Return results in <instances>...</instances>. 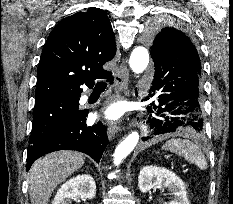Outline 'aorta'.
Masks as SVG:
<instances>
[{
    "instance_id": "1",
    "label": "aorta",
    "mask_w": 233,
    "mask_h": 204,
    "mask_svg": "<svg viewBox=\"0 0 233 204\" xmlns=\"http://www.w3.org/2000/svg\"><path fill=\"white\" fill-rule=\"evenodd\" d=\"M149 54L145 47H136L131 53L129 64L136 74L142 73L148 66ZM139 141V133H130L115 149L114 165L118 166L136 147Z\"/></svg>"
}]
</instances>
